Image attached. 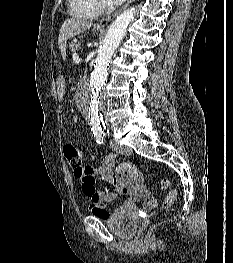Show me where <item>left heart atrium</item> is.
I'll list each match as a JSON object with an SVG mask.
<instances>
[{
  "label": "left heart atrium",
  "mask_w": 233,
  "mask_h": 263,
  "mask_svg": "<svg viewBox=\"0 0 233 263\" xmlns=\"http://www.w3.org/2000/svg\"><path fill=\"white\" fill-rule=\"evenodd\" d=\"M117 2H121V1H123V0H116Z\"/></svg>",
  "instance_id": "1"
}]
</instances>
